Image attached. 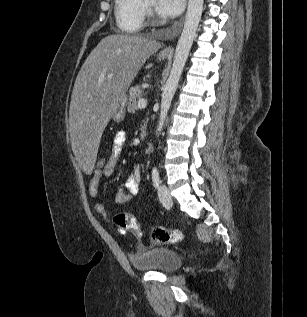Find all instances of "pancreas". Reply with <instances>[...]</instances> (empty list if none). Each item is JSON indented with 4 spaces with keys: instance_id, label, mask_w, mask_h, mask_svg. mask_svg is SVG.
<instances>
[{
    "instance_id": "pancreas-1",
    "label": "pancreas",
    "mask_w": 307,
    "mask_h": 317,
    "mask_svg": "<svg viewBox=\"0 0 307 317\" xmlns=\"http://www.w3.org/2000/svg\"><path fill=\"white\" fill-rule=\"evenodd\" d=\"M142 96H143V92L140 86L136 85L135 87L130 88L129 98L126 104L129 113H134L138 109L137 100L141 99Z\"/></svg>"
}]
</instances>
